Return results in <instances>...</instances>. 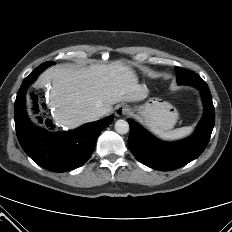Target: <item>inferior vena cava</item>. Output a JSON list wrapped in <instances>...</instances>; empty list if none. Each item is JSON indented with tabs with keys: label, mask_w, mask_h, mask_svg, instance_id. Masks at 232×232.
<instances>
[{
	"label": "inferior vena cava",
	"mask_w": 232,
	"mask_h": 232,
	"mask_svg": "<svg viewBox=\"0 0 232 232\" xmlns=\"http://www.w3.org/2000/svg\"><path fill=\"white\" fill-rule=\"evenodd\" d=\"M104 115H106L105 110H97V111H94V112L90 113L87 118H88L89 121H95V120H98L99 118H101Z\"/></svg>",
	"instance_id": "602c4592"
}]
</instances>
